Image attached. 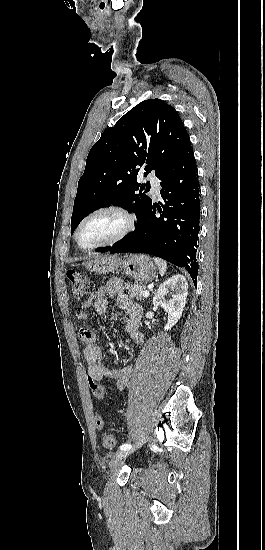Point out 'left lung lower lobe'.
<instances>
[{
    "mask_svg": "<svg viewBox=\"0 0 265 550\" xmlns=\"http://www.w3.org/2000/svg\"><path fill=\"white\" fill-rule=\"evenodd\" d=\"M165 205L151 204L135 231L101 253H147L185 268L197 284L200 198L197 166L189 143L160 177ZM156 207L160 214L157 217Z\"/></svg>",
    "mask_w": 265,
    "mask_h": 550,
    "instance_id": "left-lung-lower-lobe-1",
    "label": "left lung lower lobe"
}]
</instances>
